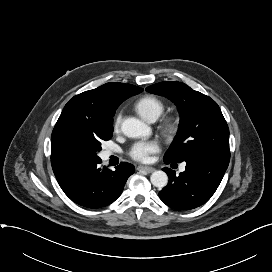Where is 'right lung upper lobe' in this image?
<instances>
[{"label":"right lung upper lobe","instance_id":"cb5924a9","mask_svg":"<svg viewBox=\"0 0 272 272\" xmlns=\"http://www.w3.org/2000/svg\"><path fill=\"white\" fill-rule=\"evenodd\" d=\"M143 89L131 84L111 82L71 98L65 105L51 136V165L56 178L82 163L71 157L61 143L62 132L84 123H109L118 106Z\"/></svg>","mask_w":272,"mask_h":272}]
</instances>
